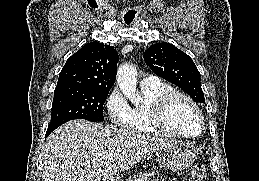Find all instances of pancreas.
Instances as JSON below:
<instances>
[{
	"label": "pancreas",
	"instance_id": "obj_1",
	"mask_svg": "<svg viewBox=\"0 0 259 181\" xmlns=\"http://www.w3.org/2000/svg\"><path fill=\"white\" fill-rule=\"evenodd\" d=\"M155 172H140L137 175H134L132 178H129L127 181H147L150 176H154Z\"/></svg>",
	"mask_w": 259,
	"mask_h": 181
}]
</instances>
